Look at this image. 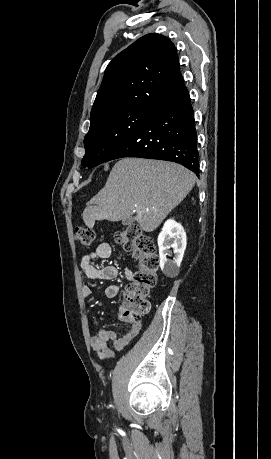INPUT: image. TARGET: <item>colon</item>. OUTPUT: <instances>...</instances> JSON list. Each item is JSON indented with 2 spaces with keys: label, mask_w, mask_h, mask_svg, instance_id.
I'll return each instance as SVG.
<instances>
[{
  "label": "colon",
  "mask_w": 271,
  "mask_h": 459,
  "mask_svg": "<svg viewBox=\"0 0 271 459\" xmlns=\"http://www.w3.org/2000/svg\"><path fill=\"white\" fill-rule=\"evenodd\" d=\"M74 236L81 247L88 248L94 242L96 232L89 227H77ZM115 239L123 250L132 253L138 260V270L124 289V301L119 312L127 321L139 323L150 310L149 295L156 284L159 257L153 240L138 225L125 227Z\"/></svg>",
  "instance_id": "colon-1"
}]
</instances>
